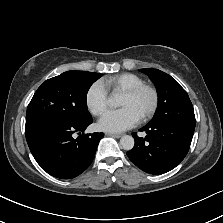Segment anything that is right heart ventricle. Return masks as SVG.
Instances as JSON below:
<instances>
[{
    "mask_svg": "<svg viewBox=\"0 0 223 223\" xmlns=\"http://www.w3.org/2000/svg\"><path fill=\"white\" fill-rule=\"evenodd\" d=\"M103 83L105 84L107 90L121 92L123 94L141 84H144V81L136 74L123 73L105 78Z\"/></svg>",
    "mask_w": 223,
    "mask_h": 223,
    "instance_id": "right-heart-ventricle-1",
    "label": "right heart ventricle"
}]
</instances>
